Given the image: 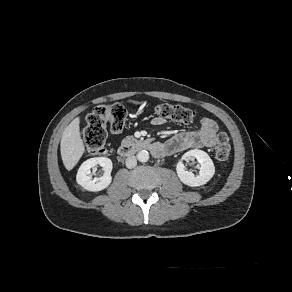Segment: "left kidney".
Returning a JSON list of instances; mask_svg holds the SVG:
<instances>
[{"mask_svg": "<svg viewBox=\"0 0 292 292\" xmlns=\"http://www.w3.org/2000/svg\"><path fill=\"white\" fill-rule=\"evenodd\" d=\"M196 158L200 163L199 174L194 175L192 172L186 171L182 161H179L176 166L179 179L185 185L197 187L206 184L214 175L215 167L209 155L198 149L189 150L182 156V160L189 161Z\"/></svg>", "mask_w": 292, "mask_h": 292, "instance_id": "5707ae66", "label": "left kidney"}]
</instances>
